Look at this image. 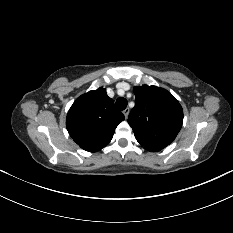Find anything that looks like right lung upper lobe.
Wrapping results in <instances>:
<instances>
[{"mask_svg": "<svg viewBox=\"0 0 233 233\" xmlns=\"http://www.w3.org/2000/svg\"><path fill=\"white\" fill-rule=\"evenodd\" d=\"M124 115L115 108L106 89L98 88L75 100L67 114L66 127L73 140L84 150L96 152L112 139Z\"/></svg>", "mask_w": 233, "mask_h": 233, "instance_id": "cb5924a9", "label": "right lung upper lobe"}]
</instances>
